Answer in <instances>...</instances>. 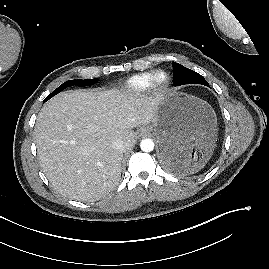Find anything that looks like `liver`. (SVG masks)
<instances>
[{"instance_id": "liver-1", "label": "liver", "mask_w": 269, "mask_h": 269, "mask_svg": "<svg viewBox=\"0 0 269 269\" xmlns=\"http://www.w3.org/2000/svg\"><path fill=\"white\" fill-rule=\"evenodd\" d=\"M157 99L119 89L66 91L50 99L37 116L35 143L57 192L91 202L113 191L123 153L135 144L132 129L153 121ZM117 139L122 151L112 148Z\"/></svg>"}]
</instances>
